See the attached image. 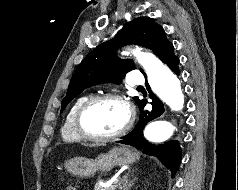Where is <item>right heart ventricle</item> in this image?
Segmentation results:
<instances>
[{
	"instance_id": "e07e8e85",
	"label": "right heart ventricle",
	"mask_w": 238,
	"mask_h": 190,
	"mask_svg": "<svg viewBox=\"0 0 238 190\" xmlns=\"http://www.w3.org/2000/svg\"><path fill=\"white\" fill-rule=\"evenodd\" d=\"M90 98L89 95H82L80 97H78L74 103L72 104V106L70 107L62 130H61V134H62V138L65 142H79L82 141L83 138L78 134V132L76 131L75 128V116L76 113L79 109V107L88 99Z\"/></svg>"
}]
</instances>
